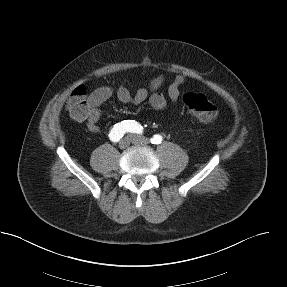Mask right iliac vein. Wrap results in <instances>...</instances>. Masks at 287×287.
<instances>
[{
    "instance_id": "63e3f726",
    "label": "right iliac vein",
    "mask_w": 287,
    "mask_h": 287,
    "mask_svg": "<svg viewBox=\"0 0 287 287\" xmlns=\"http://www.w3.org/2000/svg\"><path fill=\"white\" fill-rule=\"evenodd\" d=\"M130 142H131V140L129 137L123 138L119 143V147L121 149H126L127 147H129Z\"/></svg>"
}]
</instances>
